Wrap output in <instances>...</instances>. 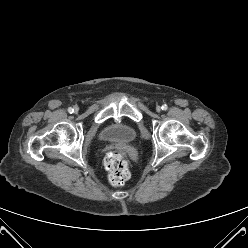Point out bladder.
<instances>
[{"label":"bladder","mask_w":248,"mask_h":248,"mask_svg":"<svg viewBox=\"0 0 248 248\" xmlns=\"http://www.w3.org/2000/svg\"><path fill=\"white\" fill-rule=\"evenodd\" d=\"M135 136V128L126 123H112L105 127L100 133V137L104 140L123 143L131 142Z\"/></svg>","instance_id":"1"}]
</instances>
